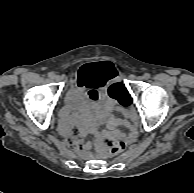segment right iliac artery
<instances>
[{"instance_id": "1", "label": "right iliac artery", "mask_w": 194, "mask_h": 193, "mask_svg": "<svg viewBox=\"0 0 194 193\" xmlns=\"http://www.w3.org/2000/svg\"><path fill=\"white\" fill-rule=\"evenodd\" d=\"M53 76H54V73L53 72H49L48 73V77L53 78Z\"/></svg>"}]
</instances>
